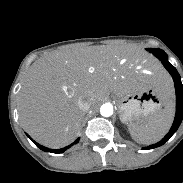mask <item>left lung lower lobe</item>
<instances>
[{"instance_id":"obj_1","label":"left lung lower lobe","mask_w":183,"mask_h":183,"mask_svg":"<svg viewBox=\"0 0 183 183\" xmlns=\"http://www.w3.org/2000/svg\"><path fill=\"white\" fill-rule=\"evenodd\" d=\"M149 52L153 53L162 62L174 80L176 90V114L172 127L167 135L158 143L145 147L144 149H153L162 146L177 131L183 119V85L179 73L176 68L169 63L167 54L163 50L150 49Z\"/></svg>"}]
</instances>
